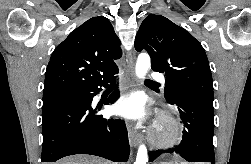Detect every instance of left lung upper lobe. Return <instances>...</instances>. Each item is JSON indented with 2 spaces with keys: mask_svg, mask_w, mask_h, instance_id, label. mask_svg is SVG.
Listing matches in <instances>:
<instances>
[{
  "mask_svg": "<svg viewBox=\"0 0 251 164\" xmlns=\"http://www.w3.org/2000/svg\"><path fill=\"white\" fill-rule=\"evenodd\" d=\"M135 49L146 50L152 69L165 72L168 102L181 96L213 100V81L206 53L185 29L164 16L150 14L139 28Z\"/></svg>",
  "mask_w": 251,
  "mask_h": 164,
  "instance_id": "5c2ea615",
  "label": "left lung upper lobe"
}]
</instances>
